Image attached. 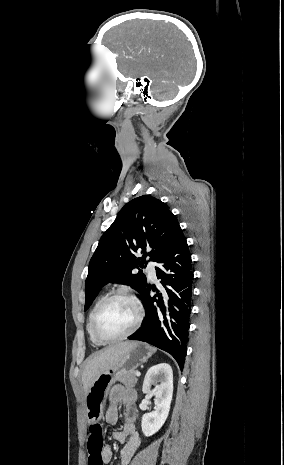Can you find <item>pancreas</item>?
<instances>
[{"instance_id":"1","label":"pancreas","mask_w":284,"mask_h":465,"mask_svg":"<svg viewBox=\"0 0 284 465\" xmlns=\"http://www.w3.org/2000/svg\"><path fill=\"white\" fill-rule=\"evenodd\" d=\"M135 373L136 371H131V373H122V375H119L117 379L120 383H122V385H125L126 389H132L138 381Z\"/></svg>"}]
</instances>
